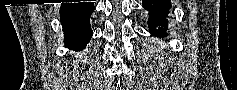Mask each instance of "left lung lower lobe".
<instances>
[{
    "instance_id": "left-lung-lower-lobe-1",
    "label": "left lung lower lobe",
    "mask_w": 237,
    "mask_h": 90,
    "mask_svg": "<svg viewBox=\"0 0 237 90\" xmlns=\"http://www.w3.org/2000/svg\"><path fill=\"white\" fill-rule=\"evenodd\" d=\"M171 2L168 0H143V6L149 11V31L153 35L164 36L163 26L167 27L166 17L169 14ZM161 28L156 30V26Z\"/></svg>"
}]
</instances>
